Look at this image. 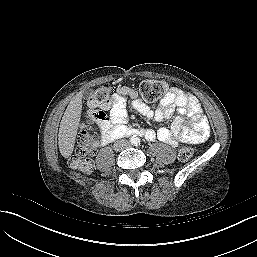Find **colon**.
I'll list each match as a JSON object with an SVG mask.
<instances>
[{
    "mask_svg": "<svg viewBox=\"0 0 257 257\" xmlns=\"http://www.w3.org/2000/svg\"><path fill=\"white\" fill-rule=\"evenodd\" d=\"M166 91V85L161 81L146 80L141 82L139 86V93L141 97L147 102H155L162 98ZM114 97L113 90L108 85L98 87L88 100L90 107L89 126L88 131L94 132L106 118L105 113L99 111L100 109H107L112 103ZM194 155V148L191 146L183 147L179 152V158L182 161H187ZM70 165L81 171H88L91 169V150L87 145L78 147L70 157Z\"/></svg>",
    "mask_w": 257,
    "mask_h": 257,
    "instance_id": "colon-1",
    "label": "colon"
}]
</instances>
